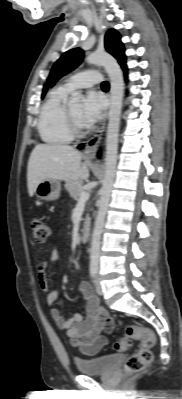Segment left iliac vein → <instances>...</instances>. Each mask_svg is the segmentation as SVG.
Instances as JSON below:
<instances>
[{
  "label": "left iliac vein",
  "mask_w": 182,
  "mask_h": 399,
  "mask_svg": "<svg viewBox=\"0 0 182 399\" xmlns=\"http://www.w3.org/2000/svg\"><path fill=\"white\" fill-rule=\"evenodd\" d=\"M94 284H95V289L98 295H102L103 294V290L100 284V279L99 276H96L95 280H94Z\"/></svg>",
  "instance_id": "4c4485c4"
}]
</instances>
